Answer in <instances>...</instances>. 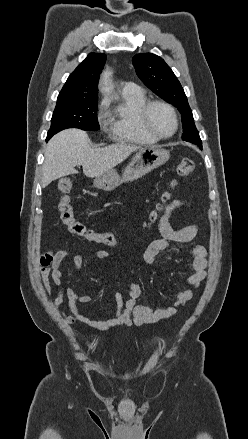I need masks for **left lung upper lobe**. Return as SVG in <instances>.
<instances>
[{
	"mask_svg": "<svg viewBox=\"0 0 248 439\" xmlns=\"http://www.w3.org/2000/svg\"><path fill=\"white\" fill-rule=\"evenodd\" d=\"M133 65L140 80L156 95L174 105L181 113L182 139L202 148V141L195 127L187 97L171 68L162 58L151 53L135 55Z\"/></svg>",
	"mask_w": 248,
	"mask_h": 439,
	"instance_id": "obj_1",
	"label": "left lung upper lobe"
}]
</instances>
